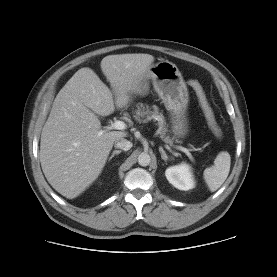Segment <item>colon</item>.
Segmentation results:
<instances>
[{
  "mask_svg": "<svg viewBox=\"0 0 277 277\" xmlns=\"http://www.w3.org/2000/svg\"><path fill=\"white\" fill-rule=\"evenodd\" d=\"M188 84L194 90L197 96L198 102L203 111V114L205 116V119L207 121L209 128L211 129V131L216 137L221 138L223 135L222 129L217 122L215 113L206 97L203 87L197 80H189Z\"/></svg>",
  "mask_w": 277,
  "mask_h": 277,
  "instance_id": "1",
  "label": "colon"
}]
</instances>
